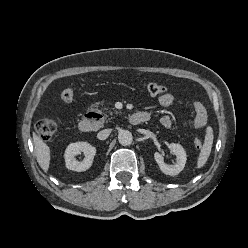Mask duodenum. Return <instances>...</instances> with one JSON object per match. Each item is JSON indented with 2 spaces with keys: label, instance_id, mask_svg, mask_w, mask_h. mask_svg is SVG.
Returning a JSON list of instances; mask_svg holds the SVG:
<instances>
[{
  "label": "duodenum",
  "instance_id": "duodenum-1",
  "mask_svg": "<svg viewBox=\"0 0 248 248\" xmlns=\"http://www.w3.org/2000/svg\"><path fill=\"white\" fill-rule=\"evenodd\" d=\"M150 119L149 114L137 112L128 116V121L132 125L142 124ZM101 125V117L97 113L86 114L79 122V130L84 133L93 132Z\"/></svg>",
  "mask_w": 248,
  "mask_h": 248
}]
</instances>
